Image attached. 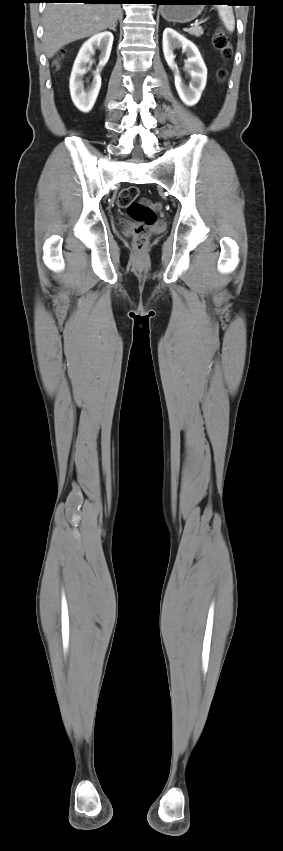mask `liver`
<instances>
[{
    "mask_svg": "<svg viewBox=\"0 0 283 851\" xmlns=\"http://www.w3.org/2000/svg\"><path fill=\"white\" fill-rule=\"evenodd\" d=\"M119 4L49 3L43 16V45L47 58L63 46L116 25Z\"/></svg>",
    "mask_w": 283,
    "mask_h": 851,
    "instance_id": "liver-1",
    "label": "liver"
}]
</instances>
